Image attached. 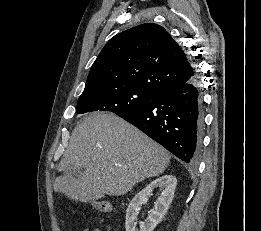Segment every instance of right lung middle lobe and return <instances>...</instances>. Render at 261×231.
Returning <instances> with one entry per match:
<instances>
[{
    "label": "right lung middle lobe",
    "mask_w": 261,
    "mask_h": 231,
    "mask_svg": "<svg viewBox=\"0 0 261 231\" xmlns=\"http://www.w3.org/2000/svg\"><path fill=\"white\" fill-rule=\"evenodd\" d=\"M156 96L148 90L132 86L90 92L79 97L76 112L82 114L100 110L122 115L146 105Z\"/></svg>",
    "instance_id": "1"
}]
</instances>
